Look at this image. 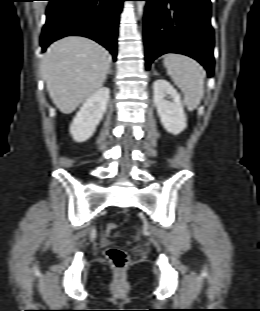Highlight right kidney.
Segmentation results:
<instances>
[{
	"label": "right kidney",
	"mask_w": 260,
	"mask_h": 311,
	"mask_svg": "<svg viewBox=\"0 0 260 311\" xmlns=\"http://www.w3.org/2000/svg\"><path fill=\"white\" fill-rule=\"evenodd\" d=\"M110 89L102 87L90 96L70 125V134L76 142L88 140L103 118L109 101Z\"/></svg>",
	"instance_id": "obj_1"
}]
</instances>
